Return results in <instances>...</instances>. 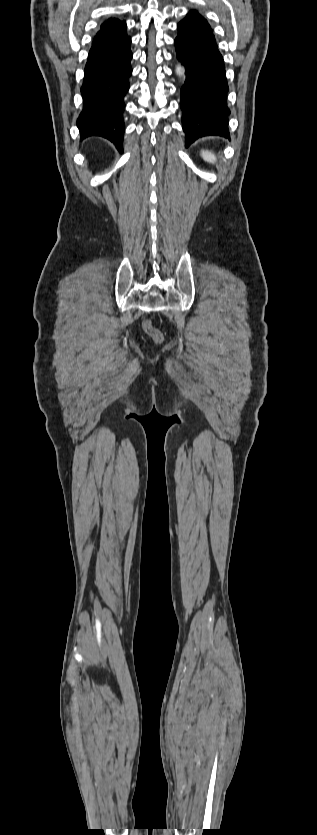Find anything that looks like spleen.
<instances>
[{
    "label": "spleen",
    "instance_id": "obj_1",
    "mask_svg": "<svg viewBox=\"0 0 317 835\" xmlns=\"http://www.w3.org/2000/svg\"><path fill=\"white\" fill-rule=\"evenodd\" d=\"M201 157H202V158H203V160H205L206 162H209V163H211V164H215V163H216V156H215V155H214V153H213V152H211V151H208V150H202V151H201Z\"/></svg>",
    "mask_w": 317,
    "mask_h": 835
}]
</instances>
